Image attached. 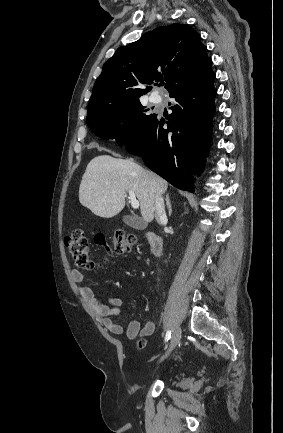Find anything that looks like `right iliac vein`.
I'll return each mask as SVG.
<instances>
[{
    "label": "right iliac vein",
    "instance_id": "63e3f726",
    "mask_svg": "<svg viewBox=\"0 0 283 433\" xmlns=\"http://www.w3.org/2000/svg\"><path fill=\"white\" fill-rule=\"evenodd\" d=\"M180 338H181V328L179 326H177L174 329V332H173V335L171 338V342L169 344V347H168L165 355L162 357V360L166 359L170 355V353L175 349V347L178 345V343L180 341Z\"/></svg>",
    "mask_w": 283,
    "mask_h": 433
}]
</instances>
